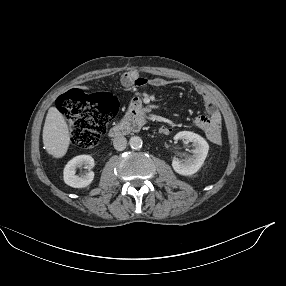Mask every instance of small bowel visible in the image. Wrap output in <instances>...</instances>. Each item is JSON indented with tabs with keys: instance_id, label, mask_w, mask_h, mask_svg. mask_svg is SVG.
Listing matches in <instances>:
<instances>
[{
	"instance_id": "obj_1",
	"label": "small bowel",
	"mask_w": 286,
	"mask_h": 286,
	"mask_svg": "<svg viewBox=\"0 0 286 286\" xmlns=\"http://www.w3.org/2000/svg\"><path fill=\"white\" fill-rule=\"evenodd\" d=\"M122 83L124 86L128 88H135V87H143V86H153V87H161L166 84V82L161 78H154V79H147L141 77L135 71H129L123 74ZM196 92L198 95L201 96L205 107H206V115L198 116L194 120V126L204 131L205 127L211 123H216L221 126L222 123V116L220 111L218 110L213 97L211 94L203 87H196ZM142 104V99L139 96H134L129 100V106L132 109H137ZM160 132L163 134H170L172 129L169 126H161ZM218 144V143H216Z\"/></svg>"
}]
</instances>
